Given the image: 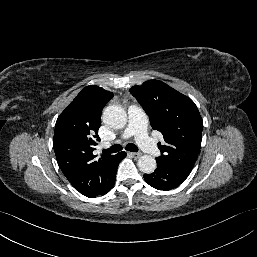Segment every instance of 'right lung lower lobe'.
<instances>
[{
  "instance_id": "right-lung-lower-lobe-1",
  "label": "right lung lower lobe",
  "mask_w": 257,
  "mask_h": 257,
  "mask_svg": "<svg viewBox=\"0 0 257 257\" xmlns=\"http://www.w3.org/2000/svg\"><path fill=\"white\" fill-rule=\"evenodd\" d=\"M125 157H126L125 152H120L114 156L113 161L108 170L107 179H106L105 183L103 184V186L101 187L99 192L96 195L92 196L91 198H94V197L100 196V195H104L113 187V185L115 183L117 167H118L120 161L122 159H124Z\"/></svg>"
}]
</instances>
